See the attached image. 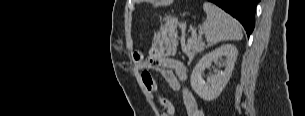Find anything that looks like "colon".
Here are the masks:
<instances>
[{
	"mask_svg": "<svg viewBox=\"0 0 305 116\" xmlns=\"http://www.w3.org/2000/svg\"><path fill=\"white\" fill-rule=\"evenodd\" d=\"M144 76H145L146 78H149V77H150V76H149V73H147V72L144 73Z\"/></svg>",
	"mask_w": 305,
	"mask_h": 116,
	"instance_id": "5ec220e1",
	"label": "colon"
}]
</instances>
